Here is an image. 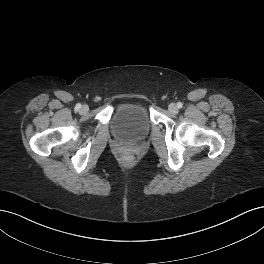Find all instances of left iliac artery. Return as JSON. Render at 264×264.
Instances as JSON below:
<instances>
[{
  "label": "left iliac artery",
  "instance_id": "1",
  "mask_svg": "<svg viewBox=\"0 0 264 264\" xmlns=\"http://www.w3.org/2000/svg\"><path fill=\"white\" fill-rule=\"evenodd\" d=\"M182 106H183V104H182L181 102H178V103H177V107H178V108H182Z\"/></svg>",
  "mask_w": 264,
  "mask_h": 264
}]
</instances>
